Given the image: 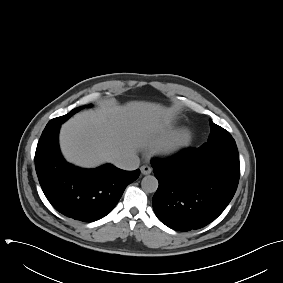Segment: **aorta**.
Returning a JSON list of instances; mask_svg holds the SVG:
<instances>
[{
	"instance_id": "1",
	"label": "aorta",
	"mask_w": 283,
	"mask_h": 283,
	"mask_svg": "<svg viewBox=\"0 0 283 283\" xmlns=\"http://www.w3.org/2000/svg\"><path fill=\"white\" fill-rule=\"evenodd\" d=\"M141 187L147 193L156 192L158 188V180L155 176L147 175L142 179Z\"/></svg>"
}]
</instances>
